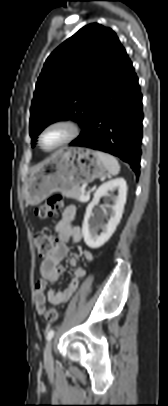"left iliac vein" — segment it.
<instances>
[{"instance_id":"1","label":"left iliac vein","mask_w":168,"mask_h":406,"mask_svg":"<svg viewBox=\"0 0 168 406\" xmlns=\"http://www.w3.org/2000/svg\"><path fill=\"white\" fill-rule=\"evenodd\" d=\"M44 362L46 365H51L53 363L52 356V341L48 342L44 351Z\"/></svg>"}]
</instances>
